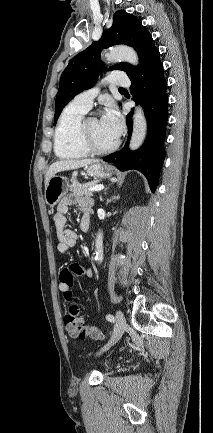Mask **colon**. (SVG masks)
I'll return each mask as SVG.
<instances>
[{
  "label": "colon",
  "mask_w": 213,
  "mask_h": 433,
  "mask_svg": "<svg viewBox=\"0 0 213 433\" xmlns=\"http://www.w3.org/2000/svg\"><path fill=\"white\" fill-rule=\"evenodd\" d=\"M74 278L75 273L70 268L63 269L60 274V281L70 287L74 285ZM70 290L65 292L67 300H71L72 298ZM63 323L70 337L83 339L87 336L94 338L97 335L96 331L89 332L87 330L83 319L79 316V308L76 305L69 307V311L63 317Z\"/></svg>",
  "instance_id": "colon-1"
}]
</instances>
